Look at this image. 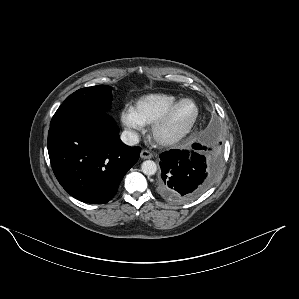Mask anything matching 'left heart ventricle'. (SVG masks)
Instances as JSON below:
<instances>
[{
    "instance_id": "b2bd125f",
    "label": "left heart ventricle",
    "mask_w": 299,
    "mask_h": 299,
    "mask_svg": "<svg viewBox=\"0 0 299 299\" xmlns=\"http://www.w3.org/2000/svg\"><path fill=\"white\" fill-rule=\"evenodd\" d=\"M195 106L193 103L187 101L182 103L173 112L169 121L162 130L164 135H172L186 129L191 123L195 115Z\"/></svg>"
}]
</instances>
